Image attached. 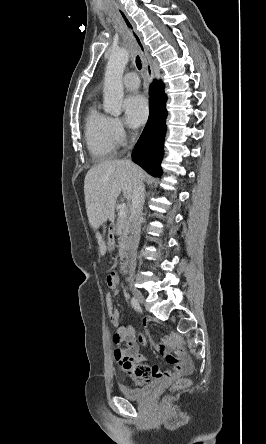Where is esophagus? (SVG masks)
Wrapping results in <instances>:
<instances>
[{
  "label": "esophagus",
  "mask_w": 266,
  "mask_h": 444,
  "mask_svg": "<svg viewBox=\"0 0 266 444\" xmlns=\"http://www.w3.org/2000/svg\"><path fill=\"white\" fill-rule=\"evenodd\" d=\"M116 10H117L119 17L123 21L129 36L134 41L136 47L138 48V50L141 54L145 74H146L148 83L151 84L153 81V68H152V64H151L147 49L143 43V40H142L140 34L137 32L131 19L128 17V15L125 13V11L117 4H116Z\"/></svg>",
  "instance_id": "34e87169"
}]
</instances>
